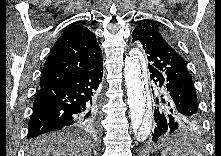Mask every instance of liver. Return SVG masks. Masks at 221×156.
<instances>
[{"instance_id":"liver-1","label":"liver","mask_w":221,"mask_h":156,"mask_svg":"<svg viewBox=\"0 0 221 156\" xmlns=\"http://www.w3.org/2000/svg\"><path fill=\"white\" fill-rule=\"evenodd\" d=\"M27 156H91L89 141L71 132H54L31 141Z\"/></svg>"}]
</instances>
